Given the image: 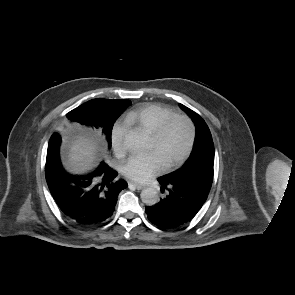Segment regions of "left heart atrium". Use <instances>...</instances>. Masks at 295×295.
Instances as JSON below:
<instances>
[{
	"instance_id": "obj_1",
	"label": "left heart atrium",
	"mask_w": 295,
	"mask_h": 295,
	"mask_svg": "<svg viewBox=\"0 0 295 295\" xmlns=\"http://www.w3.org/2000/svg\"><path fill=\"white\" fill-rule=\"evenodd\" d=\"M164 163L157 152L134 154L123 165V173L137 182H146L164 169Z\"/></svg>"
}]
</instances>
